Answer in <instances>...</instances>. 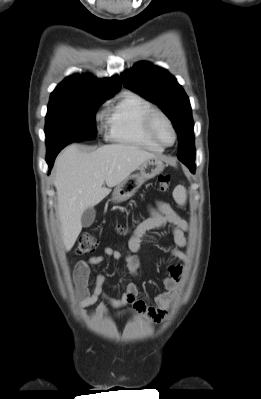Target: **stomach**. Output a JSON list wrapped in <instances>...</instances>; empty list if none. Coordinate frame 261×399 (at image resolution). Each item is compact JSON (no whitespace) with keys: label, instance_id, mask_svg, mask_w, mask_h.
Returning <instances> with one entry per match:
<instances>
[{"label":"stomach","instance_id":"1","mask_svg":"<svg viewBox=\"0 0 261 399\" xmlns=\"http://www.w3.org/2000/svg\"><path fill=\"white\" fill-rule=\"evenodd\" d=\"M137 170L136 173L116 185L112 193L114 202H123L132 197L147 180L164 170V164L159 158H152L142 163Z\"/></svg>","mask_w":261,"mask_h":399}]
</instances>
